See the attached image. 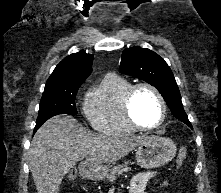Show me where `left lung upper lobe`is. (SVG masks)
Masks as SVG:
<instances>
[{"label": "left lung upper lobe", "mask_w": 221, "mask_h": 193, "mask_svg": "<svg viewBox=\"0 0 221 193\" xmlns=\"http://www.w3.org/2000/svg\"><path fill=\"white\" fill-rule=\"evenodd\" d=\"M119 72L144 80L156 87L172 114L192 127L183 109L175 77L167 63L158 54L138 46L125 49L121 56Z\"/></svg>", "instance_id": "obj_1"}]
</instances>
